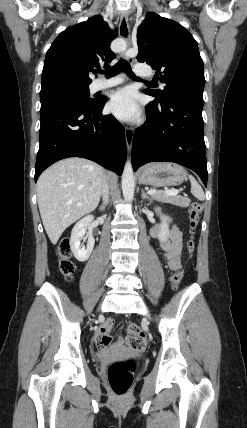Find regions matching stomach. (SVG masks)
Segmentation results:
<instances>
[{"label": "stomach", "instance_id": "obj_1", "mask_svg": "<svg viewBox=\"0 0 247 428\" xmlns=\"http://www.w3.org/2000/svg\"><path fill=\"white\" fill-rule=\"evenodd\" d=\"M187 178L186 170L175 163L159 162L143 167L139 173L142 184L152 186H176Z\"/></svg>", "mask_w": 247, "mask_h": 428}]
</instances>
